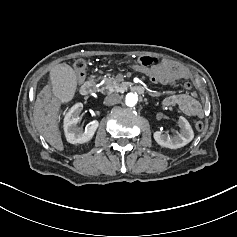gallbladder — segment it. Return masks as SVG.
Here are the masks:
<instances>
[{
    "mask_svg": "<svg viewBox=\"0 0 237 237\" xmlns=\"http://www.w3.org/2000/svg\"><path fill=\"white\" fill-rule=\"evenodd\" d=\"M51 88L61 100L71 98L74 91L75 75L66 64H59L51 72Z\"/></svg>",
    "mask_w": 237,
    "mask_h": 237,
    "instance_id": "gallbladder-1",
    "label": "gallbladder"
}]
</instances>
